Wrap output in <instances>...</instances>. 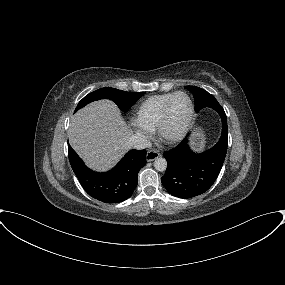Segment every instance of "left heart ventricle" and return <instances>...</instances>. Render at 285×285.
Returning <instances> with one entry per match:
<instances>
[{
    "label": "left heart ventricle",
    "instance_id": "b2bd125f",
    "mask_svg": "<svg viewBox=\"0 0 285 285\" xmlns=\"http://www.w3.org/2000/svg\"><path fill=\"white\" fill-rule=\"evenodd\" d=\"M190 113V103L186 96L179 95L171 103L167 132L174 134L186 123Z\"/></svg>",
    "mask_w": 285,
    "mask_h": 285
}]
</instances>
